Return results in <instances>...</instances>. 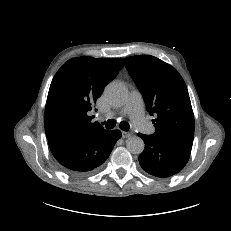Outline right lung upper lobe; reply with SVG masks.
Masks as SVG:
<instances>
[{
    "mask_svg": "<svg viewBox=\"0 0 231 231\" xmlns=\"http://www.w3.org/2000/svg\"><path fill=\"white\" fill-rule=\"evenodd\" d=\"M122 68V58L83 56L64 63L48 92L44 122L48 141L103 131L92 122L90 110Z\"/></svg>",
    "mask_w": 231,
    "mask_h": 231,
    "instance_id": "1",
    "label": "right lung upper lobe"
}]
</instances>
